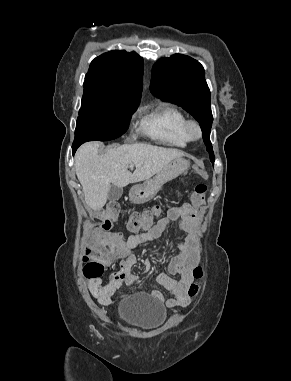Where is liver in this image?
I'll list each match as a JSON object with an SVG mask.
<instances>
[{"instance_id": "obj_1", "label": "liver", "mask_w": 291, "mask_h": 381, "mask_svg": "<svg viewBox=\"0 0 291 381\" xmlns=\"http://www.w3.org/2000/svg\"><path fill=\"white\" fill-rule=\"evenodd\" d=\"M99 142L83 144L75 155L76 175L83 187L85 201L94 211L106 204L111 185L125 187L150 179L184 153L143 143L122 145L98 154ZM135 171H128L129 165Z\"/></svg>"}]
</instances>
